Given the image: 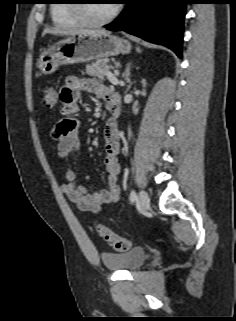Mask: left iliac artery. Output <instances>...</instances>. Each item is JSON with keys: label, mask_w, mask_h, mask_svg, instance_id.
<instances>
[{"label": "left iliac artery", "mask_w": 236, "mask_h": 321, "mask_svg": "<svg viewBox=\"0 0 236 321\" xmlns=\"http://www.w3.org/2000/svg\"><path fill=\"white\" fill-rule=\"evenodd\" d=\"M136 198H137V195H136L135 191L132 190L130 193V201L134 202L136 200Z\"/></svg>", "instance_id": "obj_1"}]
</instances>
